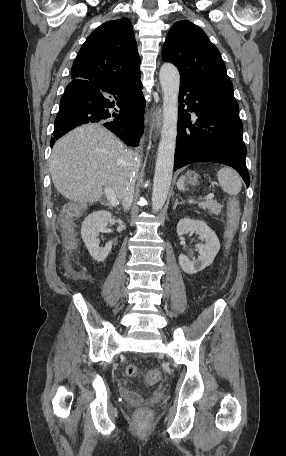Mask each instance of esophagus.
<instances>
[{"instance_id": "obj_1", "label": "esophagus", "mask_w": 286, "mask_h": 456, "mask_svg": "<svg viewBox=\"0 0 286 456\" xmlns=\"http://www.w3.org/2000/svg\"><path fill=\"white\" fill-rule=\"evenodd\" d=\"M162 109L157 107L153 110L152 117L155 119V129L156 132L159 133L162 125Z\"/></svg>"}]
</instances>
